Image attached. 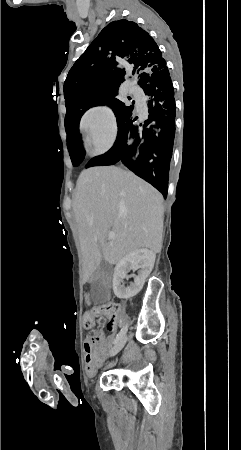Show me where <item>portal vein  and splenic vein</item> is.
Returning a JSON list of instances; mask_svg holds the SVG:
<instances>
[{
	"instance_id": "portal-vein-and-splenic-vein-1",
	"label": "portal vein and splenic vein",
	"mask_w": 241,
	"mask_h": 450,
	"mask_svg": "<svg viewBox=\"0 0 241 450\" xmlns=\"http://www.w3.org/2000/svg\"><path fill=\"white\" fill-rule=\"evenodd\" d=\"M108 238H109V240H112V238H116L115 232H109Z\"/></svg>"
}]
</instances>
